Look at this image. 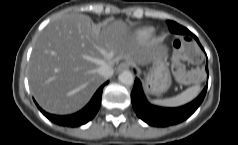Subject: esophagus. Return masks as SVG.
I'll list each match as a JSON object with an SVG mask.
<instances>
[{
    "label": "esophagus",
    "mask_w": 238,
    "mask_h": 145,
    "mask_svg": "<svg viewBox=\"0 0 238 145\" xmlns=\"http://www.w3.org/2000/svg\"><path fill=\"white\" fill-rule=\"evenodd\" d=\"M129 67H130V64L128 62H122L119 64L117 71L120 72L123 70H127V69H129Z\"/></svg>",
    "instance_id": "1"
}]
</instances>
